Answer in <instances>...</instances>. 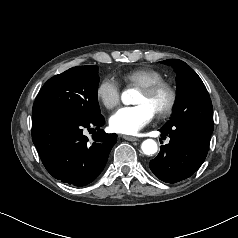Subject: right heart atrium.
<instances>
[{"mask_svg":"<svg viewBox=\"0 0 238 238\" xmlns=\"http://www.w3.org/2000/svg\"><path fill=\"white\" fill-rule=\"evenodd\" d=\"M96 95L104 107L112 109L120 102V85L114 78L106 77L100 81L96 90Z\"/></svg>","mask_w":238,"mask_h":238,"instance_id":"d8ad5b80","label":"right heart atrium"}]
</instances>
